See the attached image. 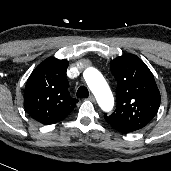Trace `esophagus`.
<instances>
[{"mask_svg": "<svg viewBox=\"0 0 171 171\" xmlns=\"http://www.w3.org/2000/svg\"><path fill=\"white\" fill-rule=\"evenodd\" d=\"M89 99H90L91 101H93V102H94V101H95V97H94V95H92V94H91V95H89Z\"/></svg>", "mask_w": 171, "mask_h": 171, "instance_id": "esophagus-1", "label": "esophagus"}]
</instances>
